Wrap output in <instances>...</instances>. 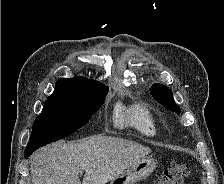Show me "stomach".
<instances>
[{
  "mask_svg": "<svg viewBox=\"0 0 224 184\" xmlns=\"http://www.w3.org/2000/svg\"><path fill=\"white\" fill-rule=\"evenodd\" d=\"M156 168L152 158L144 157L130 164L122 174L111 180L110 184H135L146 179Z\"/></svg>",
  "mask_w": 224,
  "mask_h": 184,
  "instance_id": "0dacf381",
  "label": "stomach"
}]
</instances>
